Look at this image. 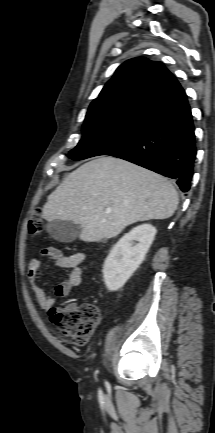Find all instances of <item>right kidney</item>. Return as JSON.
Returning <instances> with one entry per match:
<instances>
[{
    "instance_id": "1",
    "label": "right kidney",
    "mask_w": 215,
    "mask_h": 433,
    "mask_svg": "<svg viewBox=\"0 0 215 433\" xmlns=\"http://www.w3.org/2000/svg\"><path fill=\"white\" fill-rule=\"evenodd\" d=\"M156 232L151 224H142L114 245L103 266L104 282L108 290L120 289L132 276L144 260Z\"/></svg>"
}]
</instances>
